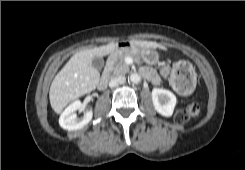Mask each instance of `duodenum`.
<instances>
[{
    "label": "duodenum",
    "instance_id": "duodenum-1",
    "mask_svg": "<svg viewBox=\"0 0 245 170\" xmlns=\"http://www.w3.org/2000/svg\"><path fill=\"white\" fill-rule=\"evenodd\" d=\"M127 47H129V43L126 41H118L114 44L112 52L107 56L104 71L98 84L100 91H104L108 87L116 52Z\"/></svg>",
    "mask_w": 245,
    "mask_h": 170
}]
</instances>
